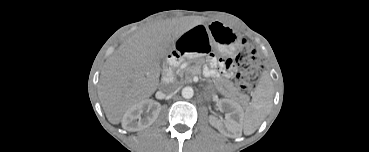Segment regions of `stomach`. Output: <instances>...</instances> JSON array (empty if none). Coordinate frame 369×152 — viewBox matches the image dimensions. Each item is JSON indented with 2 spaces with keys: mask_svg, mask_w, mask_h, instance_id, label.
<instances>
[{
  "mask_svg": "<svg viewBox=\"0 0 369 152\" xmlns=\"http://www.w3.org/2000/svg\"><path fill=\"white\" fill-rule=\"evenodd\" d=\"M208 32L212 44L224 55L230 54L239 41L236 32L220 22L211 23Z\"/></svg>",
  "mask_w": 369,
  "mask_h": 152,
  "instance_id": "obj_1",
  "label": "stomach"
}]
</instances>
